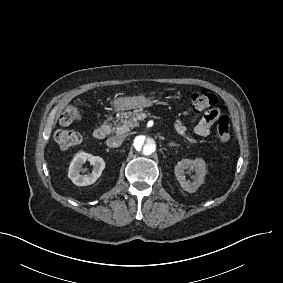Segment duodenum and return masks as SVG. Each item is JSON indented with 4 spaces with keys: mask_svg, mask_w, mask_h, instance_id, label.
<instances>
[{
    "mask_svg": "<svg viewBox=\"0 0 283 283\" xmlns=\"http://www.w3.org/2000/svg\"><path fill=\"white\" fill-rule=\"evenodd\" d=\"M109 132H110V126L108 124L104 123V124L98 126L94 130L93 136L97 140H103L108 136Z\"/></svg>",
    "mask_w": 283,
    "mask_h": 283,
    "instance_id": "1",
    "label": "duodenum"
}]
</instances>
